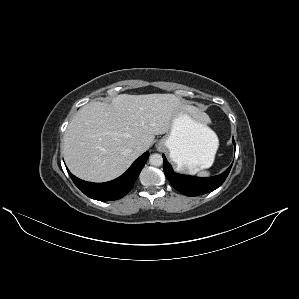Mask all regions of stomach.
<instances>
[{"mask_svg": "<svg viewBox=\"0 0 299 299\" xmlns=\"http://www.w3.org/2000/svg\"><path fill=\"white\" fill-rule=\"evenodd\" d=\"M204 123L179 109L171 121L169 133L163 137L159 147H166L170 158L178 164L179 170L190 167L200 170L212 165L219 141Z\"/></svg>", "mask_w": 299, "mask_h": 299, "instance_id": "stomach-1", "label": "stomach"}]
</instances>
